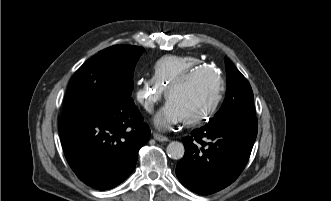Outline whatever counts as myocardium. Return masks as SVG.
Instances as JSON below:
<instances>
[{
    "mask_svg": "<svg viewBox=\"0 0 331 201\" xmlns=\"http://www.w3.org/2000/svg\"><path fill=\"white\" fill-rule=\"evenodd\" d=\"M202 72L213 73L218 80L219 89H218V92H217L214 100L212 101V103L204 111H202L200 114H198L192 118H186V119L182 120L186 125L197 124V123L201 122L202 120L206 119L207 117H210L211 115H213L216 112V110L218 109V107L223 99L224 93H225V81H224L222 75L215 72L213 68H210L208 66H203L200 68L193 69V70L187 72L186 74L182 75L179 78V80L175 86L170 87L166 90V99H167V102H170L172 99V96L174 95L175 92L186 87L187 84L197 74L202 73Z\"/></svg>",
    "mask_w": 331,
    "mask_h": 201,
    "instance_id": "1",
    "label": "myocardium"
}]
</instances>
